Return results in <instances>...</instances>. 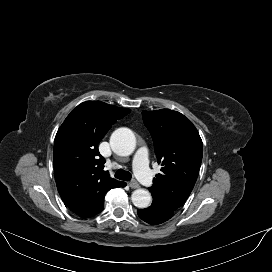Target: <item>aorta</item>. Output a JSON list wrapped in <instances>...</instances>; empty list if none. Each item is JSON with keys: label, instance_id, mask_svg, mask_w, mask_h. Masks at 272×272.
Instances as JSON below:
<instances>
[{"label": "aorta", "instance_id": "762f6f07", "mask_svg": "<svg viewBox=\"0 0 272 272\" xmlns=\"http://www.w3.org/2000/svg\"><path fill=\"white\" fill-rule=\"evenodd\" d=\"M110 145L117 155L128 156L135 149L136 138L129 128H118L110 137ZM131 200L137 208H146L151 203V194L145 189H137L132 193Z\"/></svg>", "mask_w": 272, "mask_h": 272}]
</instances>
